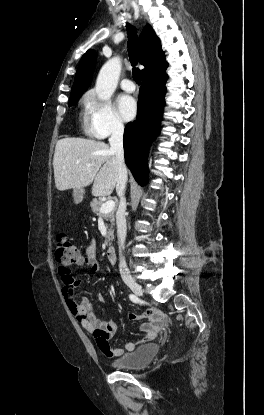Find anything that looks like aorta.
Masks as SVG:
<instances>
[{"instance_id":"762f6f07","label":"aorta","mask_w":264,"mask_h":415,"mask_svg":"<svg viewBox=\"0 0 264 415\" xmlns=\"http://www.w3.org/2000/svg\"><path fill=\"white\" fill-rule=\"evenodd\" d=\"M121 72V59L113 57L101 68L96 80V94L100 100H108L114 93Z\"/></svg>"}]
</instances>
